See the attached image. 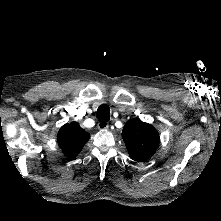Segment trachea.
I'll return each instance as SVG.
<instances>
[{
	"label": "trachea",
	"mask_w": 221,
	"mask_h": 221,
	"mask_svg": "<svg viewBox=\"0 0 221 221\" xmlns=\"http://www.w3.org/2000/svg\"><path fill=\"white\" fill-rule=\"evenodd\" d=\"M96 117L101 122H107L110 120V109L106 104H102L98 107Z\"/></svg>",
	"instance_id": "3493384b"
}]
</instances>
